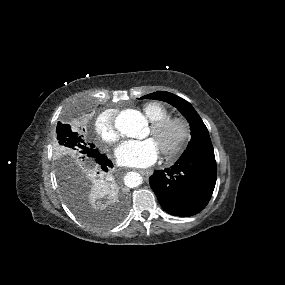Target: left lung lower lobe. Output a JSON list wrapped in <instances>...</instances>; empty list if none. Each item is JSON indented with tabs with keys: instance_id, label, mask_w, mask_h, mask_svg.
Returning a JSON list of instances; mask_svg holds the SVG:
<instances>
[{
	"instance_id": "obj_1",
	"label": "left lung lower lobe",
	"mask_w": 285,
	"mask_h": 285,
	"mask_svg": "<svg viewBox=\"0 0 285 285\" xmlns=\"http://www.w3.org/2000/svg\"><path fill=\"white\" fill-rule=\"evenodd\" d=\"M216 176L213 147H205L183 154L170 169L156 170L149 182L166 212L185 217L206 207Z\"/></svg>"
}]
</instances>
